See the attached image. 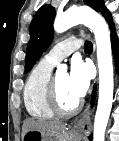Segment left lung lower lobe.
I'll list each match as a JSON object with an SVG mask.
<instances>
[{
    "label": "left lung lower lobe",
    "instance_id": "0a47b994",
    "mask_svg": "<svg viewBox=\"0 0 119 141\" xmlns=\"http://www.w3.org/2000/svg\"><path fill=\"white\" fill-rule=\"evenodd\" d=\"M106 19H107L109 25L111 27H113L111 15H109ZM111 41H112V49H113L114 58L116 60H118V58H119V45H118L117 36H116L115 31H114L113 28H112V38H111ZM117 66H119V61L117 63ZM94 89H95V87H94ZM94 96H95V91L93 92V98H94ZM89 139L91 140L92 136H90Z\"/></svg>",
    "mask_w": 119,
    "mask_h": 141
}]
</instances>
